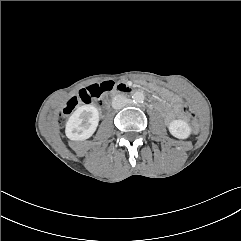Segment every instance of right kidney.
<instances>
[{
    "label": "right kidney",
    "mask_w": 241,
    "mask_h": 241,
    "mask_svg": "<svg viewBox=\"0 0 241 241\" xmlns=\"http://www.w3.org/2000/svg\"><path fill=\"white\" fill-rule=\"evenodd\" d=\"M99 124V112L92 105L78 107L69 117L65 133L73 141H82L90 138Z\"/></svg>",
    "instance_id": "1"
}]
</instances>
